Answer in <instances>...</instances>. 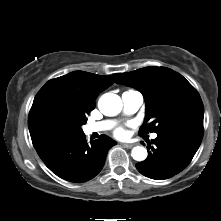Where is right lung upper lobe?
<instances>
[{"mask_svg":"<svg viewBox=\"0 0 221 221\" xmlns=\"http://www.w3.org/2000/svg\"><path fill=\"white\" fill-rule=\"evenodd\" d=\"M117 75L103 76L75 71L48 81L35 96L29 113L28 127L32 142L40 139L33 133L32 122L42 108L49 104H59L86 116L94 109V101L99 93L111 86Z\"/></svg>","mask_w":221,"mask_h":221,"instance_id":"1","label":"right lung upper lobe"}]
</instances>
